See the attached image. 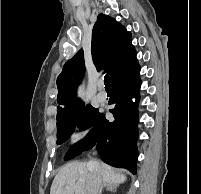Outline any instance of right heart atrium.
Returning a JSON list of instances; mask_svg holds the SVG:
<instances>
[{
	"label": "right heart atrium",
	"mask_w": 201,
	"mask_h": 194,
	"mask_svg": "<svg viewBox=\"0 0 201 194\" xmlns=\"http://www.w3.org/2000/svg\"><path fill=\"white\" fill-rule=\"evenodd\" d=\"M90 130V126L87 123L77 124L70 138L71 143L76 144L84 141L89 136Z\"/></svg>",
	"instance_id": "1"
}]
</instances>
